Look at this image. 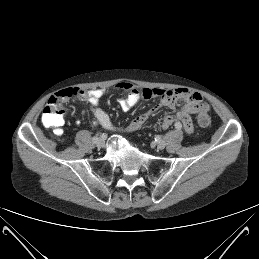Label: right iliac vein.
<instances>
[{
    "label": "right iliac vein",
    "instance_id": "obj_1",
    "mask_svg": "<svg viewBox=\"0 0 259 259\" xmlns=\"http://www.w3.org/2000/svg\"><path fill=\"white\" fill-rule=\"evenodd\" d=\"M98 139H99L98 142H96V143L94 142V143L96 144L97 147L101 148L104 146L105 143H104L103 139H101V138H98Z\"/></svg>",
    "mask_w": 259,
    "mask_h": 259
}]
</instances>
